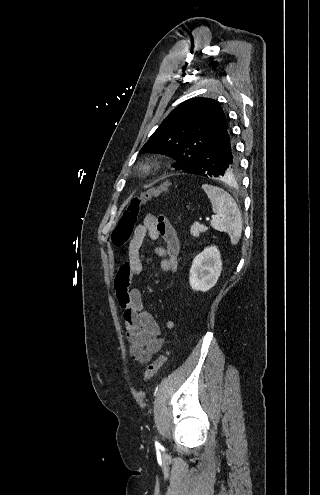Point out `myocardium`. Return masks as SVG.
<instances>
[{
    "instance_id": "myocardium-1",
    "label": "myocardium",
    "mask_w": 320,
    "mask_h": 495,
    "mask_svg": "<svg viewBox=\"0 0 320 495\" xmlns=\"http://www.w3.org/2000/svg\"><path fill=\"white\" fill-rule=\"evenodd\" d=\"M157 163L154 160H149L141 164L140 169L143 173L148 174L154 170Z\"/></svg>"
}]
</instances>
